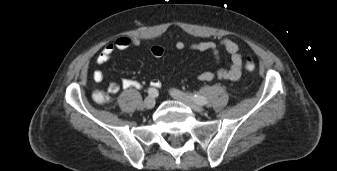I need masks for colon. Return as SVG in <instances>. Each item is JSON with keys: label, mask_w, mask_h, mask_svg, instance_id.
<instances>
[{"label": "colon", "mask_w": 337, "mask_h": 171, "mask_svg": "<svg viewBox=\"0 0 337 171\" xmlns=\"http://www.w3.org/2000/svg\"><path fill=\"white\" fill-rule=\"evenodd\" d=\"M244 68L247 71H253L255 69V62L251 57H246L243 61ZM94 100L98 103H105L108 100V96L104 92H96L94 94Z\"/></svg>", "instance_id": "5ec220e1"}]
</instances>
